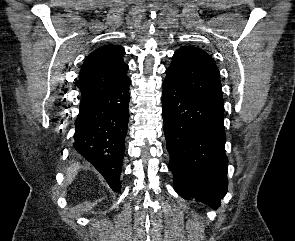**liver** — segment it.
I'll list each match as a JSON object with an SVG mask.
<instances>
[{"mask_svg":"<svg viewBox=\"0 0 295 241\" xmlns=\"http://www.w3.org/2000/svg\"><path fill=\"white\" fill-rule=\"evenodd\" d=\"M81 168L79 163H73L66 172L65 180L66 183L69 184L73 181L75 178V175L77 174L78 170Z\"/></svg>","mask_w":295,"mask_h":241,"instance_id":"obj_1","label":"liver"}]
</instances>
